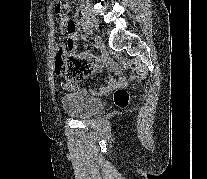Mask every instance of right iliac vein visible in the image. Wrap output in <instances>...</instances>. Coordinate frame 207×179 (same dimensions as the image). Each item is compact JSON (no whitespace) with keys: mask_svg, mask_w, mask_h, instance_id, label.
<instances>
[{"mask_svg":"<svg viewBox=\"0 0 207 179\" xmlns=\"http://www.w3.org/2000/svg\"><path fill=\"white\" fill-rule=\"evenodd\" d=\"M82 15L91 30L97 31L99 27L97 18L91 12H83Z\"/></svg>","mask_w":207,"mask_h":179,"instance_id":"obj_1","label":"right iliac vein"}]
</instances>
